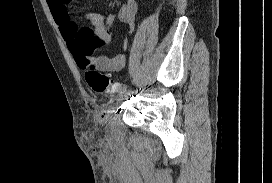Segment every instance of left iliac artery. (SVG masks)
<instances>
[{
	"label": "left iliac artery",
	"mask_w": 272,
	"mask_h": 183,
	"mask_svg": "<svg viewBox=\"0 0 272 183\" xmlns=\"http://www.w3.org/2000/svg\"><path fill=\"white\" fill-rule=\"evenodd\" d=\"M126 90H127V85L123 84L119 87V92L124 94L126 93Z\"/></svg>",
	"instance_id": "44dca946"
}]
</instances>
